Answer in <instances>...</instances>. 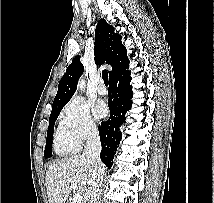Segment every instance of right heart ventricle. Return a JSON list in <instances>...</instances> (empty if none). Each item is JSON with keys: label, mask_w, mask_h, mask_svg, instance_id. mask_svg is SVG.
Returning a JSON list of instances; mask_svg holds the SVG:
<instances>
[{"label": "right heart ventricle", "mask_w": 214, "mask_h": 203, "mask_svg": "<svg viewBox=\"0 0 214 203\" xmlns=\"http://www.w3.org/2000/svg\"><path fill=\"white\" fill-rule=\"evenodd\" d=\"M54 148L60 156L70 155L79 149L61 127L54 134Z\"/></svg>", "instance_id": "right-heart-ventricle-1"}]
</instances>
